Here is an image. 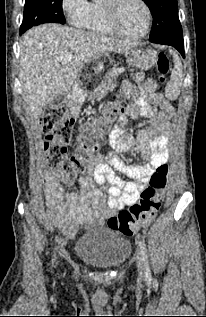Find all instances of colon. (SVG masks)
Returning a JSON list of instances; mask_svg holds the SVG:
<instances>
[{
    "label": "colon",
    "mask_w": 206,
    "mask_h": 317,
    "mask_svg": "<svg viewBox=\"0 0 206 317\" xmlns=\"http://www.w3.org/2000/svg\"><path fill=\"white\" fill-rule=\"evenodd\" d=\"M147 67H155L158 79L163 81L169 69V61L162 52H153L144 63ZM133 85L125 83L122 93L131 94ZM122 111L119 102H111L103 117L88 122L80 128L78 148L74 155H68L67 147L73 135L74 120L62 107H50L43 115L40 126L46 135L44 152L46 166L56 172L65 182L86 175L94 165L96 152L104 143L105 132L111 119ZM169 167L157 168L149 179V184L141 192L138 202L127 210H121L109 218L111 229L124 235H134L139 229L147 227L159 211L167 184Z\"/></svg>",
    "instance_id": "colon-1"
}]
</instances>
